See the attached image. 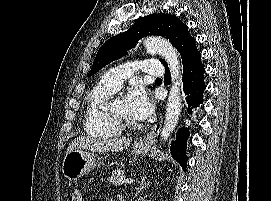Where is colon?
Returning a JSON list of instances; mask_svg holds the SVG:
<instances>
[{
	"mask_svg": "<svg viewBox=\"0 0 271 201\" xmlns=\"http://www.w3.org/2000/svg\"><path fill=\"white\" fill-rule=\"evenodd\" d=\"M71 201H83V194L80 190H75L72 195Z\"/></svg>",
	"mask_w": 271,
	"mask_h": 201,
	"instance_id": "obj_1",
	"label": "colon"
}]
</instances>
